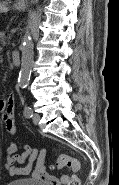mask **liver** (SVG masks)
<instances>
[{
    "label": "liver",
    "instance_id": "liver-1",
    "mask_svg": "<svg viewBox=\"0 0 119 185\" xmlns=\"http://www.w3.org/2000/svg\"><path fill=\"white\" fill-rule=\"evenodd\" d=\"M6 11H8V8L3 4H0V12H6Z\"/></svg>",
    "mask_w": 119,
    "mask_h": 185
}]
</instances>
